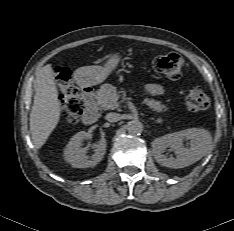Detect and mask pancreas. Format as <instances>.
Wrapping results in <instances>:
<instances>
[{
    "mask_svg": "<svg viewBox=\"0 0 234 231\" xmlns=\"http://www.w3.org/2000/svg\"><path fill=\"white\" fill-rule=\"evenodd\" d=\"M115 96H117V88L108 83L103 84L100 89L96 91L95 98L98 107L100 109H117L119 103L115 100ZM143 103L156 112H165L167 110V107L164 104L152 98H145Z\"/></svg>",
    "mask_w": 234,
    "mask_h": 231,
    "instance_id": "obj_1",
    "label": "pancreas"
}]
</instances>
